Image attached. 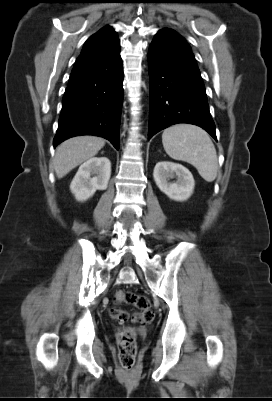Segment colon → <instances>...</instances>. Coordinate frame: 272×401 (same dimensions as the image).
<instances>
[{
    "mask_svg": "<svg viewBox=\"0 0 272 401\" xmlns=\"http://www.w3.org/2000/svg\"><path fill=\"white\" fill-rule=\"evenodd\" d=\"M114 303L116 305L126 303L135 306L140 312L131 315L127 311H120L117 307L110 309V315L119 320L126 322L130 319L142 323H150L154 319V312L151 309L150 302L147 297L138 295L130 291L120 290L114 295ZM118 356L121 367L126 371H131L135 365L137 354L136 335L129 328H122L117 333Z\"/></svg>",
    "mask_w": 272,
    "mask_h": 401,
    "instance_id": "colon-1",
    "label": "colon"
}]
</instances>
